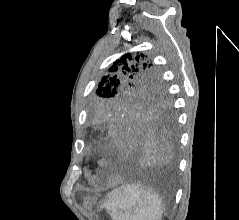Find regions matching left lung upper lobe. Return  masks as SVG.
<instances>
[{
    "instance_id": "1",
    "label": "left lung upper lobe",
    "mask_w": 239,
    "mask_h": 220,
    "mask_svg": "<svg viewBox=\"0 0 239 220\" xmlns=\"http://www.w3.org/2000/svg\"><path fill=\"white\" fill-rule=\"evenodd\" d=\"M96 95L88 110L94 125L98 114L112 107L171 112L159 71L143 54L126 53L116 60L99 83Z\"/></svg>"
}]
</instances>
